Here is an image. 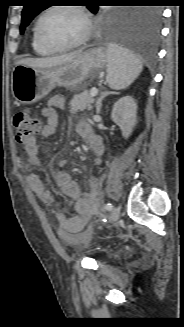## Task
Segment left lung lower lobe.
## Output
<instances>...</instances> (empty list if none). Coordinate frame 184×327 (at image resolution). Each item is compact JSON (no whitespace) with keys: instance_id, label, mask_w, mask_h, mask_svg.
<instances>
[{"instance_id":"1","label":"left lung lower lobe","mask_w":184,"mask_h":327,"mask_svg":"<svg viewBox=\"0 0 184 327\" xmlns=\"http://www.w3.org/2000/svg\"><path fill=\"white\" fill-rule=\"evenodd\" d=\"M160 19L161 11L157 7L141 8L128 23L114 31L112 41L129 52L154 55Z\"/></svg>"}]
</instances>
